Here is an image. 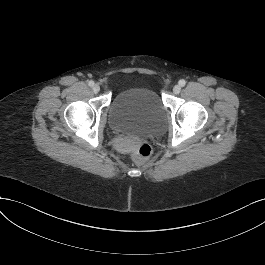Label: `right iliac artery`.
<instances>
[{
    "label": "right iliac artery",
    "instance_id": "right-iliac-artery-1",
    "mask_svg": "<svg viewBox=\"0 0 265 265\" xmlns=\"http://www.w3.org/2000/svg\"><path fill=\"white\" fill-rule=\"evenodd\" d=\"M88 85H89L90 87L94 86V81H92V80L89 81V82H88Z\"/></svg>",
    "mask_w": 265,
    "mask_h": 265
}]
</instances>
